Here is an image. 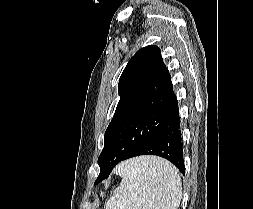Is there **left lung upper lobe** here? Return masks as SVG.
<instances>
[{
	"label": "left lung upper lobe",
	"mask_w": 253,
	"mask_h": 209,
	"mask_svg": "<svg viewBox=\"0 0 253 209\" xmlns=\"http://www.w3.org/2000/svg\"><path fill=\"white\" fill-rule=\"evenodd\" d=\"M118 92L120 101L98 158L100 174L138 152L178 108L169 71L155 45L139 49L129 60Z\"/></svg>",
	"instance_id": "5c2ea615"
}]
</instances>
